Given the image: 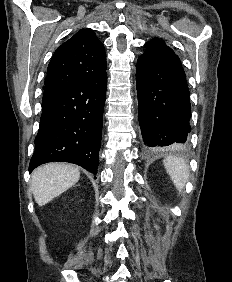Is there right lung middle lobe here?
I'll return each mask as SVG.
<instances>
[{"mask_svg": "<svg viewBox=\"0 0 232 282\" xmlns=\"http://www.w3.org/2000/svg\"><path fill=\"white\" fill-rule=\"evenodd\" d=\"M47 106H45L44 103H42V109H45Z\"/></svg>", "mask_w": 232, "mask_h": 282, "instance_id": "obj_1", "label": "right lung middle lobe"}]
</instances>
